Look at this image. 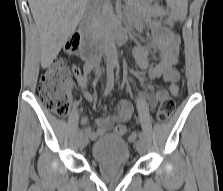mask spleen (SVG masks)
I'll return each instance as SVG.
<instances>
[{
	"mask_svg": "<svg viewBox=\"0 0 223 191\" xmlns=\"http://www.w3.org/2000/svg\"><path fill=\"white\" fill-rule=\"evenodd\" d=\"M167 3L171 7L172 15L175 19L183 21L186 18L187 0H167Z\"/></svg>",
	"mask_w": 223,
	"mask_h": 191,
	"instance_id": "1",
	"label": "spleen"
}]
</instances>
